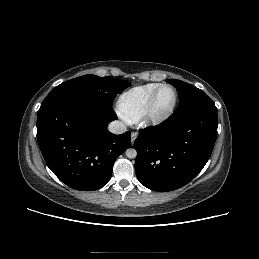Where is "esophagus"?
<instances>
[{
  "label": "esophagus",
  "mask_w": 259,
  "mask_h": 259,
  "mask_svg": "<svg viewBox=\"0 0 259 259\" xmlns=\"http://www.w3.org/2000/svg\"><path fill=\"white\" fill-rule=\"evenodd\" d=\"M136 137H137L136 132H132V133H131V144H133V143H134V141H135Z\"/></svg>",
  "instance_id": "obj_1"
}]
</instances>
